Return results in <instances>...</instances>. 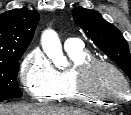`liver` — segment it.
<instances>
[{"mask_svg":"<svg viewBox=\"0 0 131 115\" xmlns=\"http://www.w3.org/2000/svg\"><path fill=\"white\" fill-rule=\"evenodd\" d=\"M0 115H94L80 108H68L40 104L0 105Z\"/></svg>","mask_w":131,"mask_h":115,"instance_id":"1","label":"liver"}]
</instances>
